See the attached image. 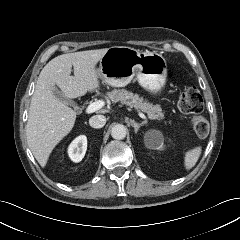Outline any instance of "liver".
<instances>
[{
    "instance_id": "6515ba94",
    "label": "liver",
    "mask_w": 240,
    "mask_h": 240,
    "mask_svg": "<svg viewBox=\"0 0 240 240\" xmlns=\"http://www.w3.org/2000/svg\"><path fill=\"white\" fill-rule=\"evenodd\" d=\"M108 48L59 55L40 72L32 96L26 125L27 143L41 167H45L55 146L70 133L76 112L57 99V85L72 99L99 88L96 64ZM72 66L74 76H71Z\"/></svg>"
}]
</instances>
